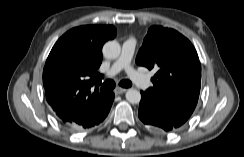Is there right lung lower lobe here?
I'll return each mask as SVG.
<instances>
[{
    "mask_svg": "<svg viewBox=\"0 0 244 157\" xmlns=\"http://www.w3.org/2000/svg\"><path fill=\"white\" fill-rule=\"evenodd\" d=\"M114 100V93L109 92L106 101L99 108L93 110L90 114L77 122H62L65 126L76 131L90 129L99 125L108 115Z\"/></svg>",
    "mask_w": 244,
    "mask_h": 157,
    "instance_id": "1",
    "label": "right lung lower lobe"
}]
</instances>
